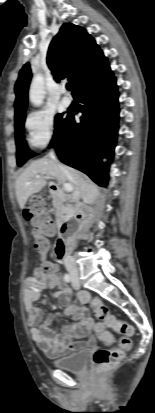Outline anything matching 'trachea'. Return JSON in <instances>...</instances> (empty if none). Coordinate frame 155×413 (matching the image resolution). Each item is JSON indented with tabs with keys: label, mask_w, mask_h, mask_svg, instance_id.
I'll use <instances>...</instances> for the list:
<instances>
[{
	"label": "trachea",
	"mask_w": 155,
	"mask_h": 413,
	"mask_svg": "<svg viewBox=\"0 0 155 413\" xmlns=\"http://www.w3.org/2000/svg\"><path fill=\"white\" fill-rule=\"evenodd\" d=\"M66 88H67V90H71V89H72V85H71L70 83H68V84L66 85Z\"/></svg>",
	"instance_id": "1"
}]
</instances>
